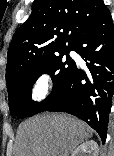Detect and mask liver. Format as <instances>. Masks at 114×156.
Returning <instances> with one entry per match:
<instances>
[{"label": "liver", "mask_w": 114, "mask_h": 156, "mask_svg": "<svg viewBox=\"0 0 114 156\" xmlns=\"http://www.w3.org/2000/svg\"><path fill=\"white\" fill-rule=\"evenodd\" d=\"M91 136L92 129L75 117L43 113L19 126L15 156H69Z\"/></svg>", "instance_id": "1"}]
</instances>
